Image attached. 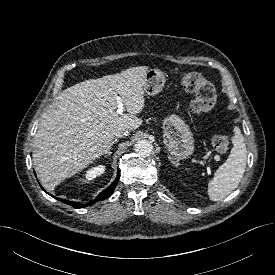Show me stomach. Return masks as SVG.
<instances>
[{
    "instance_id": "stomach-1",
    "label": "stomach",
    "mask_w": 275,
    "mask_h": 275,
    "mask_svg": "<svg viewBox=\"0 0 275 275\" xmlns=\"http://www.w3.org/2000/svg\"><path fill=\"white\" fill-rule=\"evenodd\" d=\"M165 75L159 69H150L146 72L144 91L147 95L158 94L165 85ZM163 138L169 154L177 161L189 158L194 152V138L189 126L183 119L170 114L162 123Z\"/></svg>"
}]
</instances>
